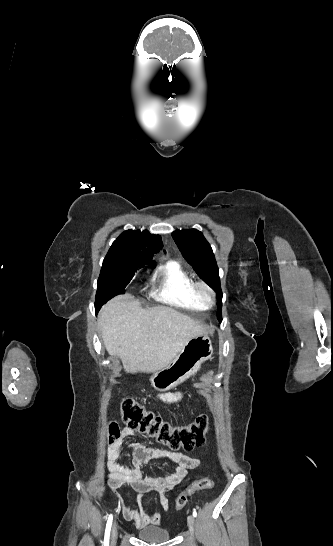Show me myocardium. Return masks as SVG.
<instances>
[{
    "instance_id": "f54148a6",
    "label": "myocardium",
    "mask_w": 333,
    "mask_h": 546,
    "mask_svg": "<svg viewBox=\"0 0 333 546\" xmlns=\"http://www.w3.org/2000/svg\"><path fill=\"white\" fill-rule=\"evenodd\" d=\"M193 290L197 299L205 306H213L216 301L214 289L204 281L194 282Z\"/></svg>"
}]
</instances>
